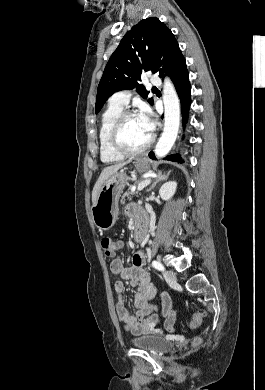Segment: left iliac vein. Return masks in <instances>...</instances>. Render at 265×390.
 Returning a JSON list of instances; mask_svg holds the SVG:
<instances>
[{
    "label": "left iliac vein",
    "mask_w": 265,
    "mask_h": 390,
    "mask_svg": "<svg viewBox=\"0 0 265 390\" xmlns=\"http://www.w3.org/2000/svg\"><path fill=\"white\" fill-rule=\"evenodd\" d=\"M163 275H164V278L166 279V281H167L168 283H171V284L176 283L177 278H176V275H175L174 271H172V270H167V271H165V272L163 273Z\"/></svg>",
    "instance_id": "obj_1"
}]
</instances>
